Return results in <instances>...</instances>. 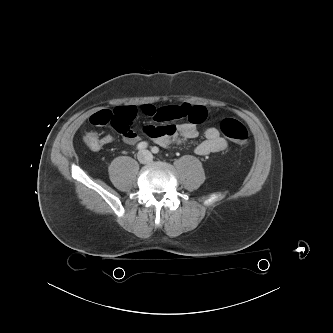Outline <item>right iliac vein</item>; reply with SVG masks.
<instances>
[{
  "label": "right iliac vein",
  "mask_w": 333,
  "mask_h": 333,
  "mask_svg": "<svg viewBox=\"0 0 333 333\" xmlns=\"http://www.w3.org/2000/svg\"><path fill=\"white\" fill-rule=\"evenodd\" d=\"M137 159L140 163H145L147 161V154L145 152H139L137 155Z\"/></svg>",
  "instance_id": "1"
}]
</instances>
